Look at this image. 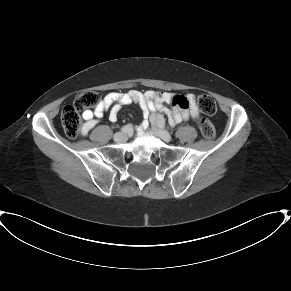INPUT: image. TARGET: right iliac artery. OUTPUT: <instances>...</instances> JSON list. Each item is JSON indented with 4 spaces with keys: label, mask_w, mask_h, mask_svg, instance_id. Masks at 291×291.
Wrapping results in <instances>:
<instances>
[{
    "label": "right iliac artery",
    "mask_w": 291,
    "mask_h": 291,
    "mask_svg": "<svg viewBox=\"0 0 291 291\" xmlns=\"http://www.w3.org/2000/svg\"><path fill=\"white\" fill-rule=\"evenodd\" d=\"M133 129L131 124H127L121 128V131L124 133H129Z\"/></svg>",
    "instance_id": "82829eb1"
}]
</instances>
